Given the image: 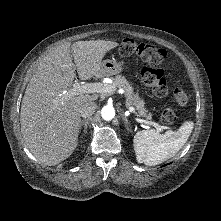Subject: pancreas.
<instances>
[{
    "instance_id": "cf45deb5",
    "label": "pancreas",
    "mask_w": 221,
    "mask_h": 221,
    "mask_svg": "<svg viewBox=\"0 0 221 221\" xmlns=\"http://www.w3.org/2000/svg\"><path fill=\"white\" fill-rule=\"evenodd\" d=\"M114 82L112 85H108L112 87L114 90L116 88H121L124 90V94L127 98V106L131 107L134 106L137 110V116L139 117H144L147 120L152 119V114L145 108V103L144 101L138 96V94H135L133 92L132 86L129 84V82L126 80L124 76H117L114 79Z\"/></svg>"
}]
</instances>
